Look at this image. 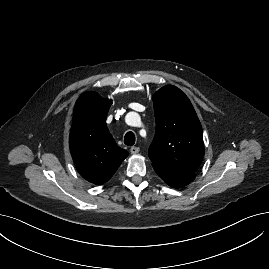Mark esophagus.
<instances>
[{
  "mask_svg": "<svg viewBox=\"0 0 269 269\" xmlns=\"http://www.w3.org/2000/svg\"><path fill=\"white\" fill-rule=\"evenodd\" d=\"M140 151L139 147L133 146L130 148L131 154H137Z\"/></svg>",
  "mask_w": 269,
  "mask_h": 269,
  "instance_id": "esophagus-1",
  "label": "esophagus"
}]
</instances>
